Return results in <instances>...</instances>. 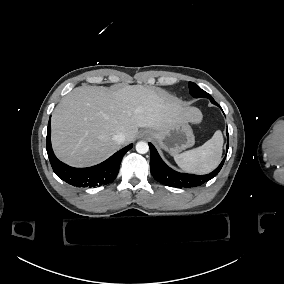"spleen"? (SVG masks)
Listing matches in <instances>:
<instances>
[{"label":"spleen","instance_id":"obj_1","mask_svg":"<svg viewBox=\"0 0 284 284\" xmlns=\"http://www.w3.org/2000/svg\"><path fill=\"white\" fill-rule=\"evenodd\" d=\"M223 138L217 130L203 145L175 154L174 159L181 169L196 173H207L220 162Z\"/></svg>","mask_w":284,"mask_h":284}]
</instances>
